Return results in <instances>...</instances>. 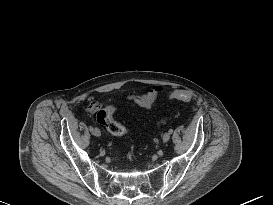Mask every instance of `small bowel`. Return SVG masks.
<instances>
[{"mask_svg":"<svg viewBox=\"0 0 273 205\" xmlns=\"http://www.w3.org/2000/svg\"><path fill=\"white\" fill-rule=\"evenodd\" d=\"M163 91L161 86H155L148 90L146 93L138 95L134 93H129L127 99L135 102L140 107L145 109H150L155 103L158 95Z\"/></svg>","mask_w":273,"mask_h":205,"instance_id":"1","label":"small bowel"}]
</instances>
